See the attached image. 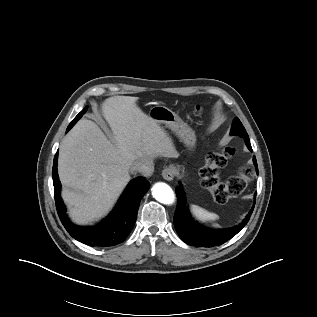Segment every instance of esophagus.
I'll return each mask as SVG.
<instances>
[{
  "instance_id": "esophagus-1",
  "label": "esophagus",
  "mask_w": 317,
  "mask_h": 317,
  "mask_svg": "<svg viewBox=\"0 0 317 317\" xmlns=\"http://www.w3.org/2000/svg\"><path fill=\"white\" fill-rule=\"evenodd\" d=\"M175 176V168L172 166L166 167L163 171H162V177L166 180V181H171L173 180Z\"/></svg>"
}]
</instances>
